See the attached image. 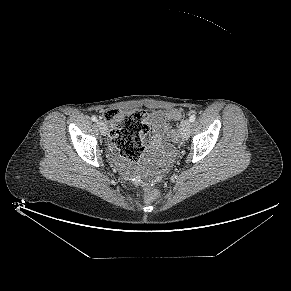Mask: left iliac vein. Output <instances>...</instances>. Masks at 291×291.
Returning a JSON list of instances; mask_svg holds the SVG:
<instances>
[{
  "instance_id": "4c4485c4",
  "label": "left iliac vein",
  "mask_w": 291,
  "mask_h": 291,
  "mask_svg": "<svg viewBox=\"0 0 291 291\" xmlns=\"http://www.w3.org/2000/svg\"><path fill=\"white\" fill-rule=\"evenodd\" d=\"M190 121L189 120H184L181 122L180 127H179V133H180V137L183 140H187L190 136Z\"/></svg>"
}]
</instances>
